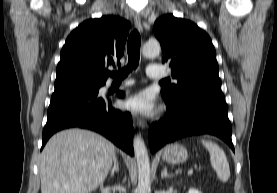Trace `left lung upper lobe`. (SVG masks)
<instances>
[{"instance_id": "5c2ea615", "label": "left lung upper lobe", "mask_w": 277, "mask_h": 193, "mask_svg": "<svg viewBox=\"0 0 277 193\" xmlns=\"http://www.w3.org/2000/svg\"><path fill=\"white\" fill-rule=\"evenodd\" d=\"M154 33L162 47V62L178 80L161 91L164 100L177 102L188 91L221 87L216 51L205 31L189 20L167 14L156 20Z\"/></svg>"}]
</instances>
